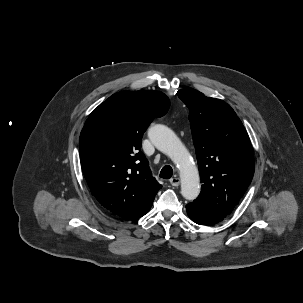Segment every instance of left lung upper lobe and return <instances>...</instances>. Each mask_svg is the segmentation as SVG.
Returning <instances> with one entry per match:
<instances>
[{
  "label": "left lung upper lobe",
  "instance_id": "1",
  "mask_svg": "<svg viewBox=\"0 0 303 303\" xmlns=\"http://www.w3.org/2000/svg\"><path fill=\"white\" fill-rule=\"evenodd\" d=\"M190 110L201 193L194 203L224 217L243 197L254 174L251 142L242 122L224 101L186 88L177 92Z\"/></svg>",
  "mask_w": 303,
  "mask_h": 303
}]
</instances>
